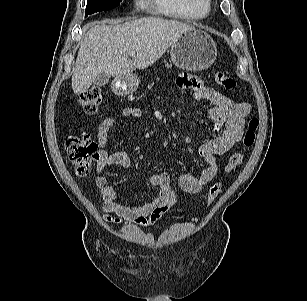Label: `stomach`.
Wrapping results in <instances>:
<instances>
[{
  "instance_id": "0dacf381",
  "label": "stomach",
  "mask_w": 307,
  "mask_h": 301,
  "mask_svg": "<svg viewBox=\"0 0 307 301\" xmlns=\"http://www.w3.org/2000/svg\"><path fill=\"white\" fill-rule=\"evenodd\" d=\"M173 64L186 71H201L209 68L216 59L217 48L208 33L200 29L183 32L170 49ZM140 79L136 74L116 77L112 82L115 94L125 96L137 90Z\"/></svg>"
}]
</instances>
